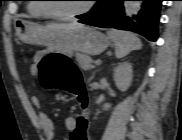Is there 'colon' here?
Here are the masks:
<instances>
[{
  "mask_svg": "<svg viewBox=\"0 0 182 140\" xmlns=\"http://www.w3.org/2000/svg\"><path fill=\"white\" fill-rule=\"evenodd\" d=\"M38 73L45 87L64 90L75 97L78 114L70 139L88 140L89 96L78 66L65 56H49L39 63Z\"/></svg>",
  "mask_w": 182,
  "mask_h": 140,
  "instance_id": "1",
  "label": "colon"
}]
</instances>
